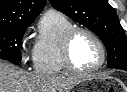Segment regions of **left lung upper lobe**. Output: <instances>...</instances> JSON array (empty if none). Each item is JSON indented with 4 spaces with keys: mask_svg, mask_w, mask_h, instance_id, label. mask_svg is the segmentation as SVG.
<instances>
[{
    "mask_svg": "<svg viewBox=\"0 0 127 92\" xmlns=\"http://www.w3.org/2000/svg\"><path fill=\"white\" fill-rule=\"evenodd\" d=\"M52 6L95 32L105 44L108 66L127 65V38L107 0H50Z\"/></svg>",
    "mask_w": 127,
    "mask_h": 92,
    "instance_id": "1",
    "label": "left lung upper lobe"
}]
</instances>
